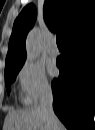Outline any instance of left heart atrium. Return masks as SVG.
I'll list each match as a JSON object with an SVG mask.
<instances>
[{
	"mask_svg": "<svg viewBox=\"0 0 95 130\" xmlns=\"http://www.w3.org/2000/svg\"><path fill=\"white\" fill-rule=\"evenodd\" d=\"M49 72L51 74H55L56 73V66L54 65V63H50L49 64Z\"/></svg>",
	"mask_w": 95,
	"mask_h": 130,
	"instance_id": "39dd6f15",
	"label": "left heart atrium"
}]
</instances>
